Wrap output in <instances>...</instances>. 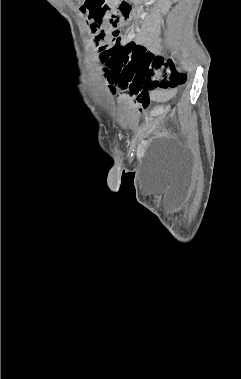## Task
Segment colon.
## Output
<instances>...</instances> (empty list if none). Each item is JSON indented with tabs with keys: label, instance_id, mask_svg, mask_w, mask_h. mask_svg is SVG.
Listing matches in <instances>:
<instances>
[{
	"label": "colon",
	"instance_id": "colon-1",
	"mask_svg": "<svg viewBox=\"0 0 241 379\" xmlns=\"http://www.w3.org/2000/svg\"><path fill=\"white\" fill-rule=\"evenodd\" d=\"M81 10L90 21L92 30L98 31L95 42L99 45L100 59L107 68L99 70L98 76L103 82H112L110 88L137 89L140 83L166 88L175 87L185 80V75L175 69L172 60L154 55L133 41L121 43L112 28L100 29L99 25L108 20L110 13L105 0H85Z\"/></svg>",
	"mask_w": 241,
	"mask_h": 379
}]
</instances>
